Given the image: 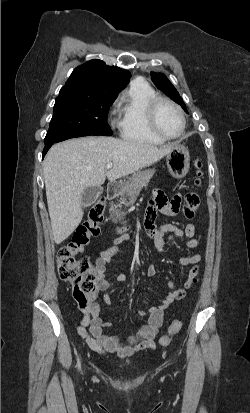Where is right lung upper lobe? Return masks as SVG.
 Here are the masks:
<instances>
[{
    "mask_svg": "<svg viewBox=\"0 0 250 413\" xmlns=\"http://www.w3.org/2000/svg\"><path fill=\"white\" fill-rule=\"evenodd\" d=\"M129 71L108 66L101 60H91L74 69L65 86L118 94L129 81Z\"/></svg>",
    "mask_w": 250,
    "mask_h": 413,
    "instance_id": "right-lung-upper-lobe-1",
    "label": "right lung upper lobe"
}]
</instances>
